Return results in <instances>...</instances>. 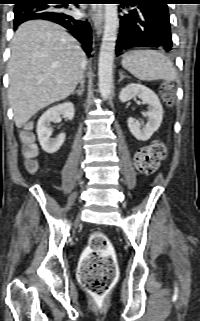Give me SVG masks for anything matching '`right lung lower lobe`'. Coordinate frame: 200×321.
Instances as JSON below:
<instances>
[{"label": "right lung lower lobe", "mask_w": 200, "mask_h": 321, "mask_svg": "<svg viewBox=\"0 0 200 321\" xmlns=\"http://www.w3.org/2000/svg\"><path fill=\"white\" fill-rule=\"evenodd\" d=\"M81 0H23L14 7V29L33 19L49 20L70 31L81 42L87 55L91 52V28L87 21L74 19L64 8Z\"/></svg>", "instance_id": "1"}]
</instances>
